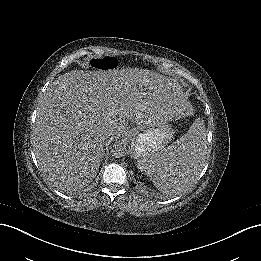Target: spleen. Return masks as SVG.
Listing matches in <instances>:
<instances>
[{
    "label": "spleen",
    "instance_id": "3e777b00",
    "mask_svg": "<svg viewBox=\"0 0 261 261\" xmlns=\"http://www.w3.org/2000/svg\"><path fill=\"white\" fill-rule=\"evenodd\" d=\"M200 138L201 135L191 129L177 144L148 158L139 159L137 166L162 193H176L195 172V168L200 167Z\"/></svg>",
    "mask_w": 261,
    "mask_h": 261
}]
</instances>
